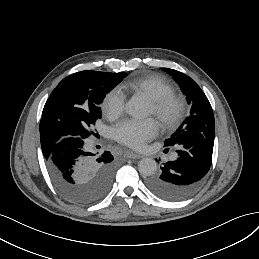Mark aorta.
I'll use <instances>...</instances> for the list:
<instances>
[{"label": "aorta", "mask_w": 259, "mask_h": 259, "mask_svg": "<svg viewBox=\"0 0 259 259\" xmlns=\"http://www.w3.org/2000/svg\"><path fill=\"white\" fill-rule=\"evenodd\" d=\"M126 112L140 118L145 115V105L139 98L130 99L125 105ZM138 170L142 176H152L157 171V162L153 158H143L138 163Z\"/></svg>", "instance_id": "obj_1"}]
</instances>
